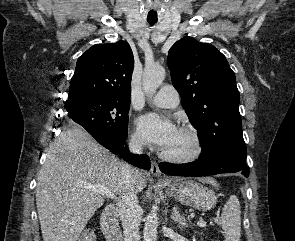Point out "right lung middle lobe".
I'll use <instances>...</instances> for the list:
<instances>
[{
	"instance_id": "1",
	"label": "right lung middle lobe",
	"mask_w": 295,
	"mask_h": 241,
	"mask_svg": "<svg viewBox=\"0 0 295 241\" xmlns=\"http://www.w3.org/2000/svg\"><path fill=\"white\" fill-rule=\"evenodd\" d=\"M130 101H83L67 106L68 116L84 129L127 137Z\"/></svg>"
}]
</instances>
